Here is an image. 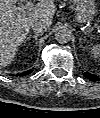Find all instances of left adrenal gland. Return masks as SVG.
<instances>
[{
    "mask_svg": "<svg viewBox=\"0 0 100 118\" xmlns=\"http://www.w3.org/2000/svg\"><path fill=\"white\" fill-rule=\"evenodd\" d=\"M79 41L82 42V38H79Z\"/></svg>",
    "mask_w": 100,
    "mask_h": 118,
    "instance_id": "obj_1",
    "label": "left adrenal gland"
}]
</instances>
